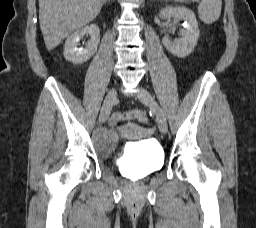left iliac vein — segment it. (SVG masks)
Returning a JSON list of instances; mask_svg holds the SVG:
<instances>
[{
	"label": "left iliac vein",
	"mask_w": 256,
	"mask_h": 228,
	"mask_svg": "<svg viewBox=\"0 0 256 228\" xmlns=\"http://www.w3.org/2000/svg\"><path fill=\"white\" fill-rule=\"evenodd\" d=\"M137 96L143 104L149 106L154 111V113L156 115L158 128L161 133L165 134L167 132L166 116H165L163 110L161 109V107L155 101L154 97L151 95V93L149 91H147L144 88L139 89Z\"/></svg>",
	"instance_id": "obj_1"
}]
</instances>
